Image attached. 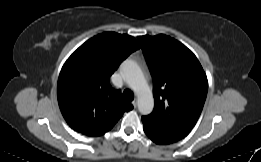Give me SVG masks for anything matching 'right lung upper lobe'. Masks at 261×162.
Returning <instances> with one entry per match:
<instances>
[{
	"mask_svg": "<svg viewBox=\"0 0 261 162\" xmlns=\"http://www.w3.org/2000/svg\"><path fill=\"white\" fill-rule=\"evenodd\" d=\"M136 39L115 32L82 44L65 62L57 83L60 110L68 125L88 136L109 131L133 106L109 83L120 63L139 49Z\"/></svg>",
	"mask_w": 261,
	"mask_h": 162,
	"instance_id": "right-lung-upper-lobe-1",
	"label": "right lung upper lobe"
}]
</instances>
